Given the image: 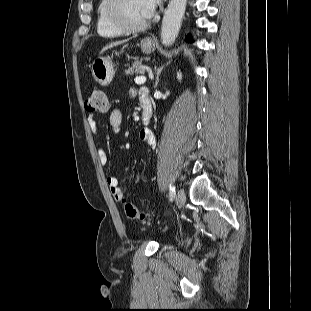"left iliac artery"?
Listing matches in <instances>:
<instances>
[{
  "label": "left iliac artery",
  "mask_w": 311,
  "mask_h": 311,
  "mask_svg": "<svg viewBox=\"0 0 311 311\" xmlns=\"http://www.w3.org/2000/svg\"><path fill=\"white\" fill-rule=\"evenodd\" d=\"M169 189H170V193H169L170 199L173 200V198H174V196L176 194L175 187L170 184Z\"/></svg>",
  "instance_id": "44dca946"
}]
</instances>
